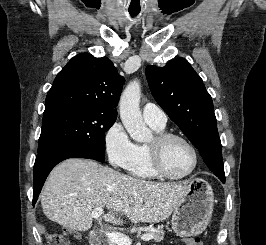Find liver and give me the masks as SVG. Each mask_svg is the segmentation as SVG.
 Returning <instances> with one entry per match:
<instances>
[{
	"label": "liver",
	"mask_w": 266,
	"mask_h": 245,
	"mask_svg": "<svg viewBox=\"0 0 266 245\" xmlns=\"http://www.w3.org/2000/svg\"><path fill=\"white\" fill-rule=\"evenodd\" d=\"M189 187L182 183H151L115 169L102 167L91 159H67L51 171L41 193L44 215L72 231H88L96 207L107 209L104 221L124 225L160 223L182 203Z\"/></svg>",
	"instance_id": "obj_1"
}]
</instances>
